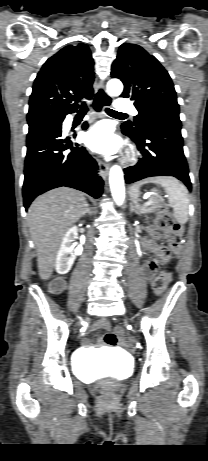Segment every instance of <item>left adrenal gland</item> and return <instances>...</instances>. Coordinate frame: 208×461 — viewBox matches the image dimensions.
Returning <instances> with one entry per match:
<instances>
[{"mask_svg":"<svg viewBox=\"0 0 208 461\" xmlns=\"http://www.w3.org/2000/svg\"><path fill=\"white\" fill-rule=\"evenodd\" d=\"M130 211L131 212H135L136 214H139V212L137 210L134 209V206L132 203H130Z\"/></svg>","mask_w":208,"mask_h":461,"instance_id":"1","label":"left adrenal gland"}]
</instances>
